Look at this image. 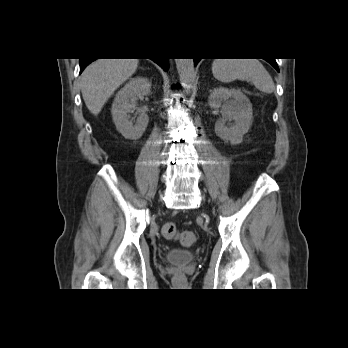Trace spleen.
<instances>
[{
    "label": "spleen",
    "instance_id": "3e777b00",
    "mask_svg": "<svg viewBox=\"0 0 348 348\" xmlns=\"http://www.w3.org/2000/svg\"><path fill=\"white\" fill-rule=\"evenodd\" d=\"M212 73L223 83L239 79L251 81L262 93L271 94L275 90L271 75L257 59H215Z\"/></svg>",
    "mask_w": 348,
    "mask_h": 348
}]
</instances>
